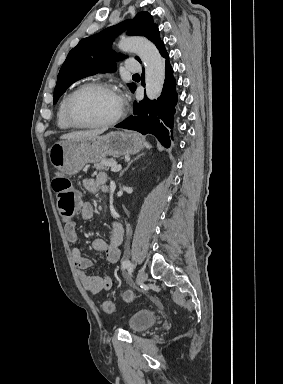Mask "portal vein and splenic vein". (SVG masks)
<instances>
[{
    "label": "portal vein and splenic vein",
    "mask_w": 283,
    "mask_h": 384,
    "mask_svg": "<svg viewBox=\"0 0 283 384\" xmlns=\"http://www.w3.org/2000/svg\"><path fill=\"white\" fill-rule=\"evenodd\" d=\"M120 170H121V166H116V164L111 168V172H120Z\"/></svg>",
    "instance_id": "18ae733b"
}]
</instances>
